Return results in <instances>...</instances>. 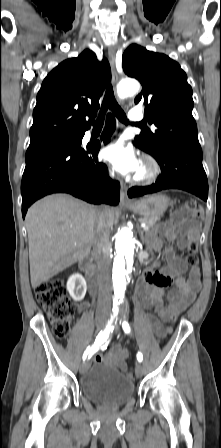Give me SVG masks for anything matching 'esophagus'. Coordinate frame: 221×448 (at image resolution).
<instances>
[{
    "mask_svg": "<svg viewBox=\"0 0 221 448\" xmlns=\"http://www.w3.org/2000/svg\"><path fill=\"white\" fill-rule=\"evenodd\" d=\"M108 57H109V62H110L111 70H112L113 81L116 86L119 81V75H118V72L116 69V49H115V47H113V46L109 47ZM127 190H128V187L125 184H122L121 192H120V202L122 204L131 203V200L127 196Z\"/></svg>",
    "mask_w": 221,
    "mask_h": 448,
    "instance_id": "esophagus-1",
    "label": "esophagus"
}]
</instances>
